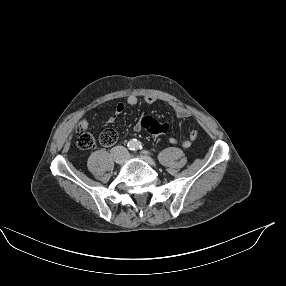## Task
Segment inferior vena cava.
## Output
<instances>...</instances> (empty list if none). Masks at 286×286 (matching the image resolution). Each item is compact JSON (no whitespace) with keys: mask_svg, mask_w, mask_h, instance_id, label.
I'll return each instance as SVG.
<instances>
[{"mask_svg":"<svg viewBox=\"0 0 286 286\" xmlns=\"http://www.w3.org/2000/svg\"><path fill=\"white\" fill-rule=\"evenodd\" d=\"M111 153L118 162L125 161L129 154L128 150L123 146H116L112 148Z\"/></svg>","mask_w":286,"mask_h":286,"instance_id":"obj_1","label":"inferior vena cava"}]
</instances>
